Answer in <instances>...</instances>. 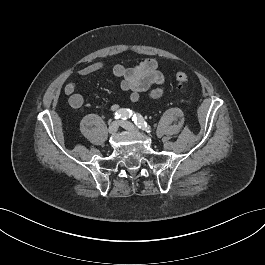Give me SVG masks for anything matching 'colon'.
<instances>
[{
	"mask_svg": "<svg viewBox=\"0 0 265 265\" xmlns=\"http://www.w3.org/2000/svg\"><path fill=\"white\" fill-rule=\"evenodd\" d=\"M175 78L179 88H184L189 84V76L184 72L177 73Z\"/></svg>",
	"mask_w": 265,
	"mask_h": 265,
	"instance_id": "obj_1",
	"label": "colon"
}]
</instances>
